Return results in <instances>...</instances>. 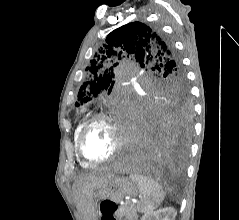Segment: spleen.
I'll list each match as a JSON object with an SVG mask.
<instances>
[{
  "instance_id": "spleen-1",
  "label": "spleen",
  "mask_w": 239,
  "mask_h": 220,
  "mask_svg": "<svg viewBox=\"0 0 239 220\" xmlns=\"http://www.w3.org/2000/svg\"><path fill=\"white\" fill-rule=\"evenodd\" d=\"M130 179L137 184L143 199L137 205V210L147 213L156 209L164 200L165 194L161 185L146 175L133 173Z\"/></svg>"
}]
</instances>
